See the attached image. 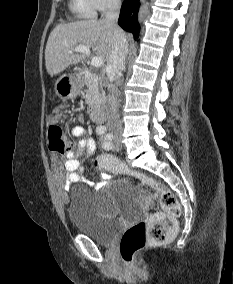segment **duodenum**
<instances>
[{"mask_svg":"<svg viewBox=\"0 0 233 284\" xmlns=\"http://www.w3.org/2000/svg\"><path fill=\"white\" fill-rule=\"evenodd\" d=\"M80 77H83V74H80ZM89 117L91 119V121H93L95 124L97 125H101L103 123L104 120V116H103V112H102V107L99 104H93L90 108H89Z\"/></svg>","mask_w":233,"mask_h":284,"instance_id":"410a0bca","label":"duodenum"}]
</instances>
